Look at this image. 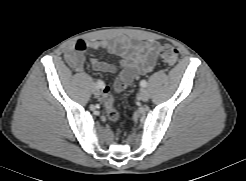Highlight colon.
I'll return each instance as SVG.
<instances>
[{"label": "colon", "mask_w": 246, "mask_h": 181, "mask_svg": "<svg viewBox=\"0 0 246 181\" xmlns=\"http://www.w3.org/2000/svg\"><path fill=\"white\" fill-rule=\"evenodd\" d=\"M160 56L162 60L167 64V65H174L177 60H178V52L177 50L170 44H163L160 47ZM111 93V88L106 87L103 91V100H104V106H105V111L107 114V117L111 121H116L119 117V113L117 109L115 108L113 98L110 95Z\"/></svg>", "instance_id": "colon-1"}]
</instances>
